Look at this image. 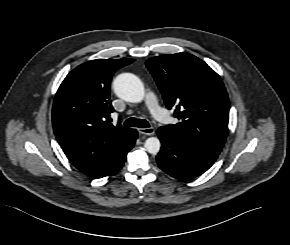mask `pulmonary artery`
I'll use <instances>...</instances> for the list:
<instances>
[{"mask_svg": "<svg viewBox=\"0 0 290 245\" xmlns=\"http://www.w3.org/2000/svg\"><path fill=\"white\" fill-rule=\"evenodd\" d=\"M146 104L153 115V117L160 122H168L170 117L166 111L159 106L156 96L152 92H148L146 95Z\"/></svg>", "mask_w": 290, "mask_h": 245, "instance_id": "obj_1", "label": "pulmonary artery"}]
</instances>
